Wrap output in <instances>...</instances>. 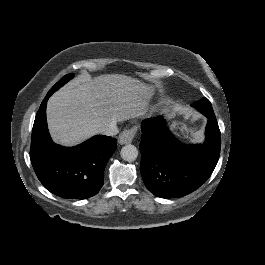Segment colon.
<instances>
[{
  "label": "colon",
  "mask_w": 265,
  "mask_h": 265,
  "mask_svg": "<svg viewBox=\"0 0 265 265\" xmlns=\"http://www.w3.org/2000/svg\"><path fill=\"white\" fill-rule=\"evenodd\" d=\"M176 129L180 132V133H183V134H185V133H187V132H189L190 130L189 129H187L184 125H182V124H176Z\"/></svg>",
  "instance_id": "obj_1"
}]
</instances>
